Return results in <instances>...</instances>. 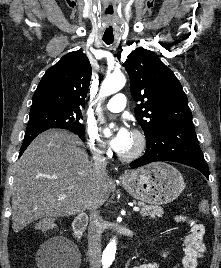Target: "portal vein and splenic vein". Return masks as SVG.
I'll list each match as a JSON object with an SVG mask.
<instances>
[{
	"label": "portal vein and splenic vein",
	"mask_w": 221,
	"mask_h": 268,
	"mask_svg": "<svg viewBox=\"0 0 221 268\" xmlns=\"http://www.w3.org/2000/svg\"><path fill=\"white\" fill-rule=\"evenodd\" d=\"M65 197H66L65 195H62L59 199L62 200V199H64ZM133 211L138 212V211H140V208H139V207H134V208H133Z\"/></svg>",
	"instance_id": "18ae733b"
}]
</instances>
